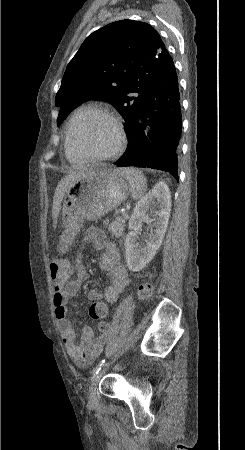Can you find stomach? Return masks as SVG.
Returning <instances> with one entry per match:
<instances>
[{"label": "stomach", "instance_id": "0dacf381", "mask_svg": "<svg viewBox=\"0 0 245 450\" xmlns=\"http://www.w3.org/2000/svg\"><path fill=\"white\" fill-rule=\"evenodd\" d=\"M130 192L129 182L118 169H94L72 182L62 208L64 232L57 251L64 254L84 220H96L123 204Z\"/></svg>", "mask_w": 245, "mask_h": 450}]
</instances>
